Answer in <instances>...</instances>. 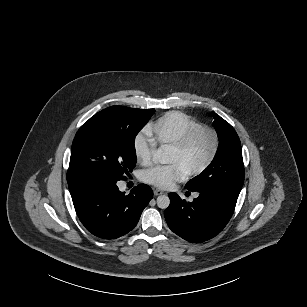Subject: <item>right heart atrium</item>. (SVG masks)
<instances>
[{
  "label": "right heart atrium",
  "instance_id": "d8ad5b80",
  "mask_svg": "<svg viewBox=\"0 0 307 307\" xmlns=\"http://www.w3.org/2000/svg\"><path fill=\"white\" fill-rule=\"evenodd\" d=\"M156 145L145 135L135 139L133 153L135 159L141 165H150L155 157Z\"/></svg>",
  "mask_w": 307,
  "mask_h": 307
}]
</instances>
